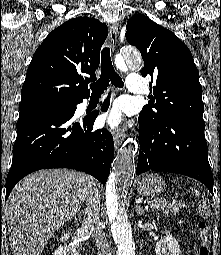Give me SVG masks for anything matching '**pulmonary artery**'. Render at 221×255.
<instances>
[{
  "mask_svg": "<svg viewBox=\"0 0 221 255\" xmlns=\"http://www.w3.org/2000/svg\"><path fill=\"white\" fill-rule=\"evenodd\" d=\"M126 87L132 93H143L145 82L140 74L131 73L127 76Z\"/></svg>",
  "mask_w": 221,
  "mask_h": 255,
  "instance_id": "obj_1",
  "label": "pulmonary artery"
}]
</instances>
